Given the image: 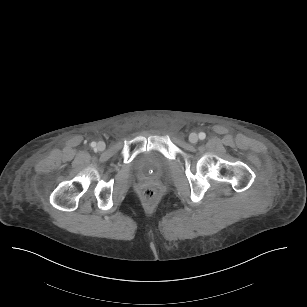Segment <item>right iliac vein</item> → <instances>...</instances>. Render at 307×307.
Instances as JSON below:
<instances>
[{"instance_id": "right-iliac-vein-1", "label": "right iliac vein", "mask_w": 307, "mask_h": 307, "mask_svg": "<svg viewBox=\"0 0 307 307\" xmlns=\"http://www.w3.org/2000/svg\"><path fill=\"white\" fill-rule=\"evenodd\" d=\"M97 148L98 150L102 151L105 149V143L103 141H100L98 144H97Z\"/></svg>"}]
</instances>
